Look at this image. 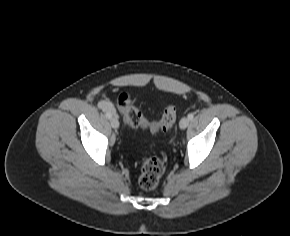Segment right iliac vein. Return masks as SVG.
I'll return each instance as SVG.
<instances>
[{"label":"right iliac vein","instance_id":"right-iliac-vein-1","mask_svg":"<svg viewBox=\"0 0 290 236\" xmlns=\"http://www.w3.org/2000/svg\"><path fill=\"white\" fill-rule=\"evenodd\" d=\"M110 123H111L112 128H114V129L119 128V121H118L116 116H114L110 119Z\"/></svg>","mask_w":290,"mask_h":236}]
</instances>
